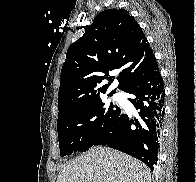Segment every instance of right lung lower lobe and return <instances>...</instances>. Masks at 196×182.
Returning a JSON list of instances; mask_svg holds the SVG:
<instances>
[{"label": "right lung lower lobe", "mask_w": 196, "mask_h": 182, "mask_svg": "<svg viewBox=\"0 0 196 182\" xmlns=\"http://www.w3.org/2000/svg\"><path fill=\"white\" fill-rule=\"evenodd\" d=\"M125 92L135 96L129 101L140 110L139 118L133 120L121 111L93 145L107 144L141 160L154 170L158 160L165 96L156 59L130 83Z\"/></svg>", "instance_id": "obj_1"}]
</instances>
